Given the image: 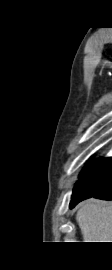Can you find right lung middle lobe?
<instances>
[{"label": "right lung middle lobe", "mask_w": 112, "mask_h": 270, "mask_svg": "<svg viewBox=\"0 0 112 270\" xmlns=\"http://www.w3.org/2000/svg\"><path fill=\"white\" fill-rule=\"evenodd\" d=\"M104 159H99L91 164H88L80 173L79 180L76 182L75 187L72 193V200H75L77 197L81 196L84 193L82 179L95 171L103 162Z\"/></svg>", "instance_id": "dd1d6c3e"}]
</instances>
